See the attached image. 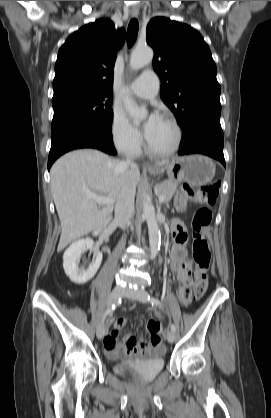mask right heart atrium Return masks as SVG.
I'll return each mask as SVG.
<instances>
[{"mask_svg":"<svg viewBox=\"0 0 271 418\" xmlns=\"http://www.w3.org/2000/svg\"><path fill=\"white\" fill-rule=\"evenodd\" d=\"M110 134L115 148L125 155L137 153L142 145L140 132L128 121L125 113L115 108L110 122Z\"/></svg>","mask_w":271,"mask_h":418,"instance_id":"right-heart-atrium-1","label":"right heart atrium"}]
</instances>
